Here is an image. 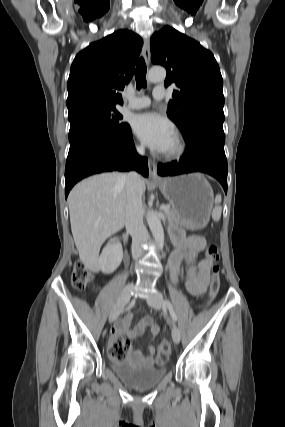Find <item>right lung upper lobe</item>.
<instances>
[{"instance_id": "cb5924a9", "label": "right lung upper lobe", "mask_w": 285, "mask_h": 427, "mask_svg": "<svg viewBox=\"0 0 285 427\" xmlns=\"http://www.w3.org/2000/svg\"><path fill=\"white\" fill-rule=\"evenodd\" d=\"M142 44L135 33L119 30L79 52L67 83L69 115L91 106L122 104L118 91L132 78Z\"/></svg>"}]
</instances>
